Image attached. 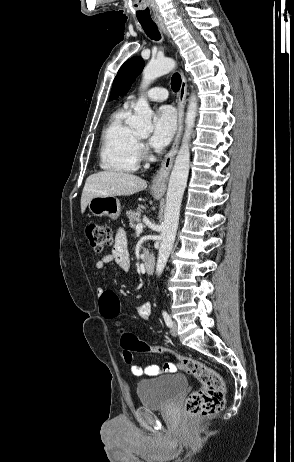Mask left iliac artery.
Wrapping results in <instances>:
<instances>
[{"label": "left iliac artery", "instance_id": "1", "mask_svg": "<svg viewBox=\"0 0 294 462\" xmlns=\"http://www.w3.org/2000/svg\"><path fill=\"white\" fill-rule=\"evenodd\" d=\"M163 318H164V321L166 323V325L168 327H172L173 323H172V320L170 318V316L168 315V313L166 311H163Z\"/></svg>", "mask_w": 294, "mask_h": 462}]
</instances>
